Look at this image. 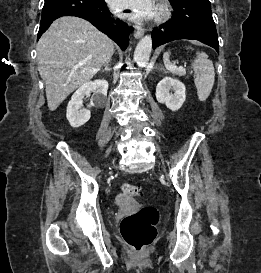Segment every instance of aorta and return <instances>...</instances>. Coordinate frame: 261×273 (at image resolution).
I'll use <instances>...</instances> for the list:
<instances>
[{
    "mask_svg": "<svg viewBox=\"0 0 261 273\" xmlns=\"http://www.w3.org/2000/svg\"><path fill=\"white\" fill-rule=\"evenodd\" d=\"M152 51L151 36L143 37L136 46L133 60L138 66H145L148 64Z\"/></svg>",
    "mask_w": 261,
    "mask_h": 273,
    "instance_id": "obj_1",
    "label": "aorta"
}]
</instances>
